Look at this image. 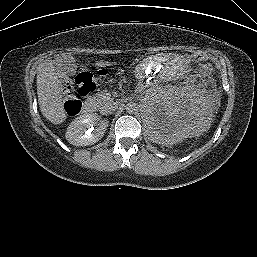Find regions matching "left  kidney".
<instances>
[{
	"instance_id": "5707ae66",
	"label": "left kidney",
	"mask_w": 257,
	"mask_h": 257,
	"mask_svg": "<svg viewBox=\"0 0 257 257\" xmlns=\"http://www.w3.org/2000/svg\"><path fill=\"white\" fill-rule=\"evenodd\" d=\"M144 121L155 143L172 145L181 142L207 129L206 100L188 89L161 90L146 102Z\"/></svg>"
}]
</instances>
